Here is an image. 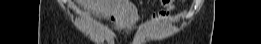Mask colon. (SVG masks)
<instances>
[{"label": "colon", "instance_id": "1", "mask_svg": "<svg viewBox=\"0 0 261 44\" xmlns=\"http://www.w3.org/2000/svg\"><path fill=\"white\" fill-rule=\"evenodd\" d=\"M160 5H161V6H170V5H171V2H170V1H161V2H160Z\"/></svg>", "mask_w": 261, "mask_h": 44}]
</instances>
